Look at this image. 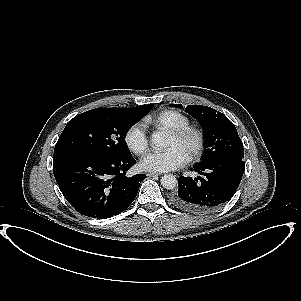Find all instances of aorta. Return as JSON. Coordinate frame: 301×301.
Instances as JSON below:
<instances>
[{"mask_svg":"<svg viewBox=\"0 0 301 301\" xmlns=\"http://www.w3.org/2000/svg\"><path fill=\"white\" fill-rule=\"evenodd\" d=\"M151 142L153 145L157 147H166L167 146L166 135L163 132H155L152 134ZM160 182L163 188L167 190L175 189L178 184L176 177L172 174H167L162 176Z\"/></svg>","mask_w":301,"mask_h":301,"instance_id":"1","label":"aorta"}]
</instances>
